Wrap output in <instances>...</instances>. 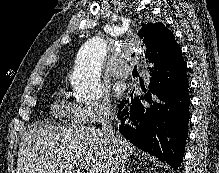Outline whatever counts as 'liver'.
<instances>
[{
	"label": "liver",
	"mask_w": 219,
	"mask_h": 173,
	"mask_svg": "<svg viewBox=\"0 0 219 173\" xmlns=\"http://www.w3.org/2000/svg\"><path fill=\"white\" fill-rule=\"evenodd\" d=\"M134 149L118 133L106 143L96 128L34 126L19 144L16 173H74V163L87 173H105L111 161L125 165Z\"/></svg>",
	"instance_id": "6515ba94"
}]
</instances>
